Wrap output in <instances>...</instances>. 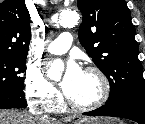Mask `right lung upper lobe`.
<instances>
[{"instance_id":"obj_1","label":"right lung upper lobe","mask_w":145,"mask_h":124,"mask_svg":"<svg viewBox=\"0 0 145 124\" xmlns=\"http://www.w3.org/2000/svg\"><path fill=\"white\" fill-rule=\"evenodd\" d=\"M29 17L24 0L0 3V54L27 57L31 39Z\"/></svg>"}]
</instances>
